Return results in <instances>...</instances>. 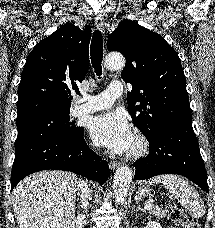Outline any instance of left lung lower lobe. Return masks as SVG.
I'll use <instances>...</instances> for the list:
<instances>
[{"label": "left lung lower lobe", "mask_w": 215, "mask_h": 228, "mask_svg": "<svg viewBox=\"0 0 215 228\" xmlns=\"http://www.w3.org/2000/svg\"><path fill=\"white\" fill-rule=\"evenodd\" d=\"M148 141V156L134 163L136 180L149 179L160 174H178L209 193L205 164L192 121L164 125Z\"/></svg>", "instance_id": "left-lung-lower-lobe-1"}]
</instances>
